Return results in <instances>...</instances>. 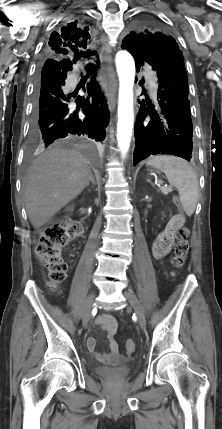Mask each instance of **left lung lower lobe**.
Instances as JSON below:
<instances>
[{"label":"left lung lower lobe","mask_w":222,"mask_h":429,"mask_svg":"<svg viewBox=\"0 0 222 429\" xmlns=\"http://www.w3.org/2000/svg\"><path fill=\"white\" fill-rule=\"evenodd\" d=\"M139 71L144 62L157 73L158 105L140 109L135 124L134 166L150 155L171 154L190 161L193 149L192 119L188 93V76L184 57L176 41L165 38L153 56L144 45L132 44L129 49ZM145 93V91H143ZM150 105V101L146 100Z\"/></svg>","instance_id":"obj_1"}]
</instances>
